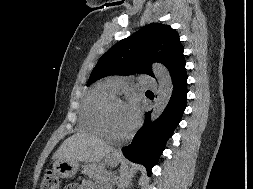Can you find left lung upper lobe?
I'll list each match as a JSON object with an SVG mask.
<instances>
[{"label":"left lung upper lobe","instance_id":"1","mask_svg":"<svg viewBox=\"0 0 253 189\" xmlns=\"http://www.w3.org/2000/svg\"><path fill=\"white\" fill-rule=\"evenodd\" d=\"M184 61L178 33L169 25L151 23L112 46L99 59L87 86L109 75L143 72L154 76L153 62L165 65L172 75Z\"/></svg>","mask_w":253,"mask_h":189}]
</instances>
